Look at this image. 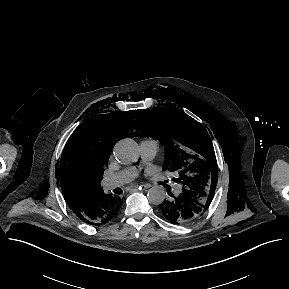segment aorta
Returning a JSON list of instances; mask_svg holds the SVG:
<instances>
[{
  "mask_svg": "<svg viewBox=\"0 0 289 289\" xmlns=\"http://www.w3.org/2000/svg\"><path fill=\"white\" fill-rule=\"evenodd\" d=\"M114 157L122 164H131L139 158V146L131 138L119 140L113 149ZM166 193L163 187L153 186L148 190V200L154 205H160L165 199Z\"/></svg>",
  "mask_w": 289,
  "mask_h": 289,
  "instance_id": "obj_1",
  "label": "aorta"
}]
</instances>
